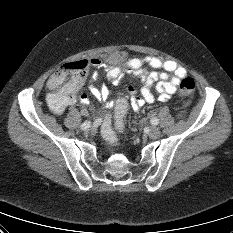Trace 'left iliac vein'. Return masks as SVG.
<instances>
[{"instance_id": "4c4485c4", "label": "left iliac vein", "mask_w": 233, "mask_h": 233, "mask_svg": "<svg viewBox=\"0 0 233 233\" xmlns=\"http://www.w3.org/2000/svg\"><path fill=\"white\" fill-rule=\"evenodd\" d=\"M160 135V129L156 126H152L150 129H149V132H148V136L151 138V139H156L158 138Z\"/></svg>"}]
</instances>
